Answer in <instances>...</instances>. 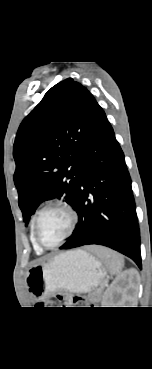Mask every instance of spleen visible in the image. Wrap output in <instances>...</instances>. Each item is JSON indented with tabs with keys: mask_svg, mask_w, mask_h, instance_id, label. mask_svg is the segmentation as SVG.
I'll return each instance as SVG.
<instances>
[{
	"mask_svg": "<svg viewBox=\"0 0 152 369\" xmlns=\"http://www.w3.org/2000/svg\"><path fill=\"white\" fill-rule=\"evenodd\" d=\"M100 254L106 259L107 267L112 274L118 275L121 273L124 265V259L122 255L109 249H103Z\"/></svg>",
	"mask_w": 152,
	"mask_h": 369,
	"instance_id": "obj_1",
	"label": "spleen"
}]
</instances>
